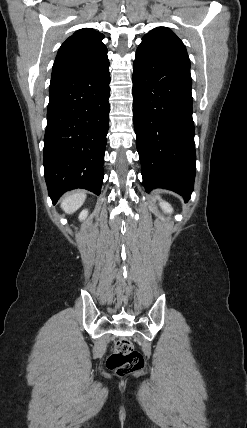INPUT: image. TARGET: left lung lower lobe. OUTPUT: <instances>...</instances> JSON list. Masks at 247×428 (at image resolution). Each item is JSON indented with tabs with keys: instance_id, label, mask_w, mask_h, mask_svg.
<instances>
[{
	"instance_id": "0a47b994",
	"label": "left lung lower lobe",
	"mask_w": 247,
	"mask_h": 428,
	"mask_svg": "<svg viewBox=\"0 0 247 428\" xmlns=\"http://www.w3.org/2000/svg\"><path fill=\"white\" fill-rule=\"evenodd\" d=\"M133 67V121L144 187L169 189L187 201L196 172L190 69L138 49Z\"/></svg>"
}]
</instances>
